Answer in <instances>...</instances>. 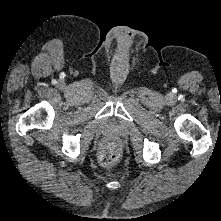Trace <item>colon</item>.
<instances>
[{
    "mask_svg": "<svg viewBox=\"0 0 221 221\" xmlns=\"http://www.w3.org/2000/svg\"><path fill=\"white\" fill-rule=\"evenodd\" d=\"M120 156V147L117 143L106 145L99 156V162L102 166L108 167L113 165Z\"/></svg>",
    "mask_w": 221,
    "mask_h": 221,
    "instance_id": "5ec220e1",
    "label": "colon"
}]
</instances>
